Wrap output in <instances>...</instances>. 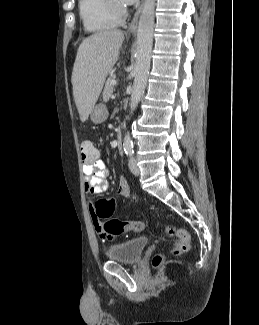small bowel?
<instances>
[{
    "label": "small bowel",
    "mask_w": 259,
    "mask_h": 325,
    "mask_svg": "<svg viewBox=\"0 0 259 325\" xmlns=\"http://www.w3.org/2000/svg\"><path fill=\"white\" fill-rule=\"evenodd\" d=\"M82 171L84 175V188L86 193L90 195H100L104 193L108 187V176L109 171L100 158L99 152L97 151V157L90 163L82 162ZM117 194L120 197H129L130 196V187L127 180L124 177H121L119 180ZM90 214L94 223V227L97 233L102 239H114L117 235H108L104 232L102 228L101 221L96 217L94 209L90 203Z\"/></svg>",
    "instance_id": "1"
}]
</instances>
